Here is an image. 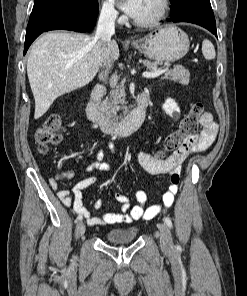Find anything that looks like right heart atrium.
Instances as JSON below:
<instances>
[{"instance_id":"d8ad5b80","label":"right heart atrium","mask_w":247,"mask_h":296,"mask_svg":"<svg viewBox=\"0 0 247 296\" xmlns=\"http://www.w3.org/2000/svg\"><path fill=\"white\" fill-rule=\"evenodd\" d=\"M100 13L107 20H117L119 18L118 11L113 0H102L100 5Z\"/></svg>"}]
</instances>
